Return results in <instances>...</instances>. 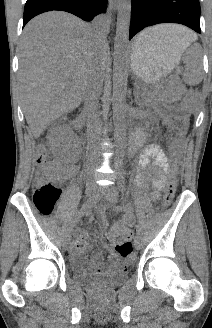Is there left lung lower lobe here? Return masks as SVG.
<instances>
[{"instance_id": "left-lung-lower-lobe-1", "label": "left lung lower lobe", "mask_w": 212, "mask_h": 328, "mask_svg": "<svg viewBox=\"0 0 212 328\" xmlns=\"http://www.w3.org/2000/svg\"><path fill=\"white\" fill-rule=\"evenodd\" d=\"M159 23H179L201 33L199 0H132L129 40Z\"/></svg>"}]
</instances>
